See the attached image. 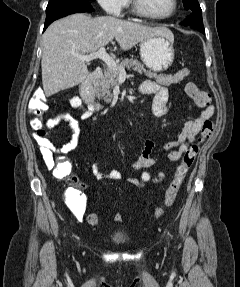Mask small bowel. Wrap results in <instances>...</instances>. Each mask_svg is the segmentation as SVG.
<instances>
[{
    "label": "small bowel",
    "instance_id": "c3829d8e",
    "mask_svg": "<svg viewBox=\"0 0 240 287\" xmlns=\"http://www.w3.org/2000/svg\"><path fill=\"white\" fill-rule=\"evenodd\" d=\"M139 90L142 94L153 96L151 110L155 116L160 117L168 113L169 94L166 87L160 85L157 82L147 80L140 85ZM69 103L72 108L80 113L82 118H89L93 113L92 107L88 106L87 104L84 106L82 100L78 96L70 97ZM202 108L203 110L198 118L190 119L185 122L180 134L175 141L168 142L163 146V149L166 151V159L168 161H178L184 152L188 149L189 145L195 140L199 132L202 130L204 123L206 121H210L211 117L214 115L213 106L208 105ZM60 121L67 122L71 129L70 140L63 144L61 147L56 148L48 139L40 138L36 134L33 135L35 141L40 146L42 158L48 165H52L53 163V151L56 150L58 153H60L61 157L66 159V155L75 150L78 146V122L71 114L63 112L49 118L46 121V128L52 129L56 127ZM155 146L156 144L152 139H147L145 141L141 155L131 164V166L136 169H149L155 166L157 160L151 155L155 149ZM91 171L93 176L98 180H120L122 178V173L116 169L104 173L101 170L99 160L93 163ZM71 180L75 183H79L76 178H71ZM128 180L131 184L139 186V177H129ZM66 204L75 218L78 221H82L85 216L87 206L86 195L81 192L71 193L66 198Z\"/></svg>",
    "mask_w": 240,
    "mask_h": 287
}]
</instances>
